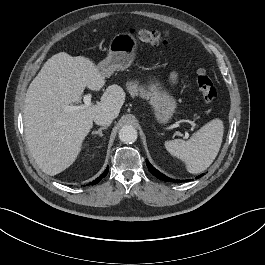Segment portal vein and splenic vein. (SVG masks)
Masks as SVG:
<instances>
[{
    "instance_id": "18ae733b",
    "label": "portal vein and splenic vein",
    "mask_w": 265,
    "mask_h": 265,
    "mask_svg": "<svg viewBox=\"0 0 265 265\" xmlns=\"http://www.w3.org/2000/svg\"><path fill=\"white\" fill-rule=\"evenodd\" d=\"M91 100H92V94H91V93L86 94V95L84 96V98H83V102H84L83 105H75V106L72 105V106H67V107L65 108V110H66V111H77V110H79L80 108L88 107V106H90V105L92 104ZM191 124H193V122H191ZM185 138H188V134H187V133L185 134Z\"/></svg>"
}]
</instances>
